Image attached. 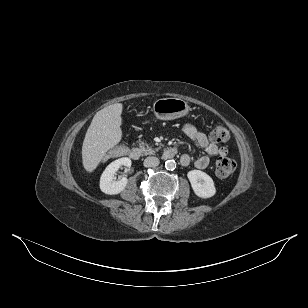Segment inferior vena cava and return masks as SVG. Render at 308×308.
Returning <instances> with one entry per match:
<instances>
[{
	"label": "inferior vena cava",
	"instance_id": "obj_1",
	"mask_svg": "<svg viewBox=\"0 0 308 308\" xmlns=\"http://www.w3.org/2000/svg\"><path fill=\"white\" fill-rule=\"evenodd\" d=\"M159 163H160L159 159L153 156L147 157L143 162L145 167H156L159 165Z\"/></svg>",
	"mask_w": 308,
	"mask_h": 308
}]
</instances>
